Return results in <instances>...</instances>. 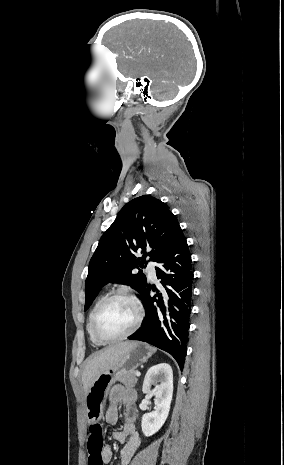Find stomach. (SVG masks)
<instances>
[{"instance_id":"stomach-1","label":"stomach","mask_w":284,"mask_h":465,"mask_svg":"<svg viewBox=\"0 0 284 465\" xmlns=\"http://www.w3.org/2000/svg\"><path fill=\"white\" fill-rule=\"evenodd\" d=\"M154 349L146 345V343H139L135 341L132 343L131 349L124 353L120 363H117L113 369H108L102 375H99L93 381L87 395H85V411L87 423H98L101 421L105 409L106 399L109 391L117 381V377L122 373H131L137 369L142 363H146L152 357Z\"/></svg>"}]
</instances>
